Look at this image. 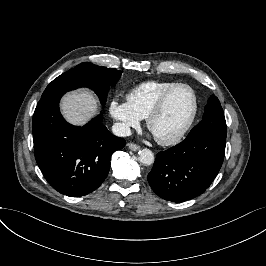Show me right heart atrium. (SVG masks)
Listing matches in <instances>:
<instances>
[{
    "mask_svg": "<svg viewBox=\"0 0 266 266\" xmlns=\"http://www.w3.org/2000/svg\"><path fill=\"white\" fill-rule=\"evenodd\" d=\"M110 115L119 122L120 128L127 131L139 125L141 118L134 111L129 101L112 98L109 102Z\"/></svg>",
    "mask_w": 266,
    "mask_h": 266,
    "instance_id": "obj_1",
    "label": "right heart atrium"
}]
</instances>
